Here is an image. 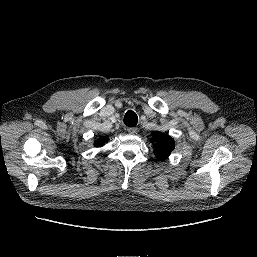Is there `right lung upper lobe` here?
I'll return each mask as SVG.
<instances>
[{
  "instance_id": "right-lung-upper-lobe-1",
  "label": "right lung upper lobe",
  "mask_w": 257,
  "mask_h": 257,
  "mask_svg": "<svg viewBox=\"0 0 257 257\" xmlns=\"http://www.w3.org/2000/svg\"><path fill=\"white\" fill-rule=\"evenodd\" d=\"M107 141H108L107 137H101L99 140L95 142V145L98 147L105 144Z\"/></svg>"
}]
</instances>
